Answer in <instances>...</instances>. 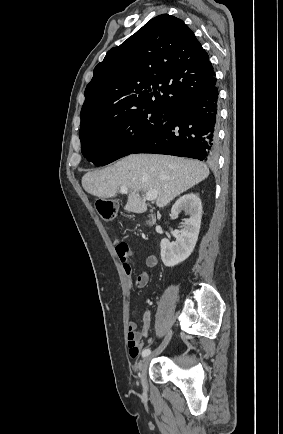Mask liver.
<instances>
[{"label":"liver","mask_w":283,"mask_h":434,"mask_svg":"<svg viewBox=\"0 0 283 434\" xmlns=\"http://www.w3.org/2000/svg\"><path fill=\"white\" fill-rule=\"evenodd\" d=\"M208 167L195 160L157 154H130L114 165L82 177L84 190L99 198L117 196L119 187L129 191L124 209L144 213L147 204L140 192L155 190L156 205L163 208L175 197L205 180Z\"/></svg>","instance_id":"obj_1"}]
</instances>
